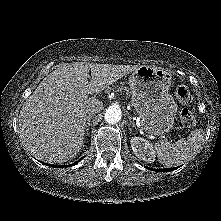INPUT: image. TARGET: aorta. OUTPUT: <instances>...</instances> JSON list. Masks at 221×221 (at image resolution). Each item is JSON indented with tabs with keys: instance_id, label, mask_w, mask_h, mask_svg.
Here are the masks:
<instances>
[{
	"instance_id": "762f6f07",
	"label": "aorta",
	"mask_w": 221,
	"mask_h": 221,
	"mask_svg": "<svg viewBox=\"0 0 221 221\" xmlns=\"http://www.w3.org/2000/svg\"><path fill=\"white\" fill-rule=\"evenodd\" d=\"M121 117H122L121 109L116 105L109 106L104 116L105 121L108 124L118 123L121 120Z\"/></svg>"
}]
</instances>
